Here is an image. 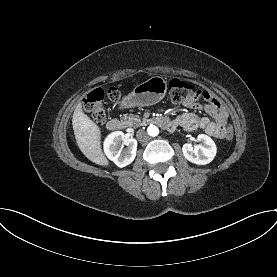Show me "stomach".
Masks as SVG:
<instances>
[{"label":"stomach","mask_w":277,"mask_h":277,"mask_svg":"<svg viewBox=\"0 0 277 277\" xmlns=\"http://www.w3.org/2000/svg\"><path fill=\"white\" fill-rule=\"evenodd\" d=\"M166 92L167 81L163 77L154 76L138 84L130 94L123 98L121 104L124 108L150 106L162 100Z\"/></svg>","instance_id":"stomach-1"}]
</instances>
